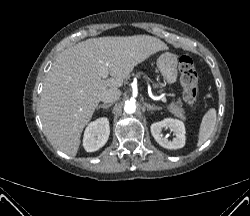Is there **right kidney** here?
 Wrapping results in <instances>:
<instances>
[{"label":"right kidney","instance_id":"right-kidney-1","mask_svg":"<svg viewBox=\"0 0 250 216\" xmlns=\"http://www.w3.org/2000/svg\"><path fill=\"white\" fill-rule=\"evenodd\" d=\"M109 120L99 118L86 127L83 137V146L87 152H94L105 145L109 138Z\"/></svg>","mask_w":250,"mask_h":216}]
</instances>
